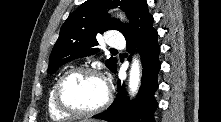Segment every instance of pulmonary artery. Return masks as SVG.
Returning a JSON list of instances; mask_svg holds the SVG:
<instances>
[{"instance_id":"e3ab8cb5","label":"pulmonary artery","mask_w":221,"mask_h":122,"mask_svg":"<svg viewBox=\"0 0 221 122\" xmlns=\"http://www.w3.org/2000/svg\"><path fill=\"white\" fill-rule=\"evenodd\" d=\"M108 45L112 48H123L125 40L121 34H112L108 39Z\"/></svg>"}]
</instances>
